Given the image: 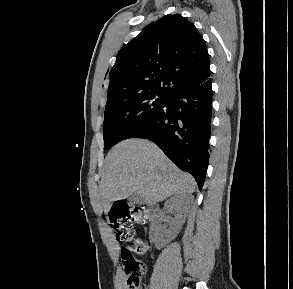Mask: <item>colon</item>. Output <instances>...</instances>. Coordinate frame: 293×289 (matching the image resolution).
Returning <instances> with one entry per match:
<instances>
[{
  "label": "colon",
  "mask_w": 293,
  "mask_h": 289,
  "mask_svg": "<svg viewBox=\"0 0 293 289\" xmlns=\"http://www.w3.org/2000/svg\"><path fill=\"white\" fill-rule=\"evenodd\" d=\"M109 218L118 241L122 243L132 242L129 248L121 250L127 288L140 289L146 273V266L134 257V253L144 255L147 252V244L140 239H134L132 224L141 223L145 220V208L140 205L116 203L113 205Z\"/></svg>",
  "instance_id": "obj_1"
}]
</instances>
